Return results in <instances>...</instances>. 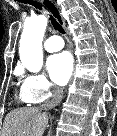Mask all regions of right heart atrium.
Here are the masks:
<instances>
[{
	"label": "right heart atrium",
	"instance_id": "right-heart-atrium-1",
	"mask_svg": "<svg viewBox=\"0 0 117 136\" xmlns=\"http://www.w3.org/2000/svg\"><path fill=\"white\" fill-rule=\"evenodd\" d=\"M22 91L31 104H39L52 98L56 91L52 83L42 73H30L23 76Z\"/></svg>",
	"mask_w": 117,
	"mask_h": 136
}]
</instances>
